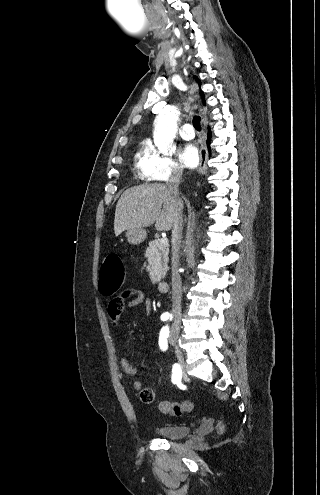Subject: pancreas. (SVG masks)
Returning a JSON list of instances; mask_svg holds the SVG:
<instances>
[{"instance_id": "pancreas-1", "label": "pancreas", "mask_w": 320, "mask_h": 495, "mask_svg": "<svg viewBox=\"0 0 320 495\" xmlns=\"http://www.w3.org/2000/svg\"><path fill=\"white\" fill-rule=\"evenodd\" d=\"M168 245L161 244V239H155L149 243L146 250L148 259L147 270L153 283H158L168 271Z\"/></svg>"}]
</instances>
